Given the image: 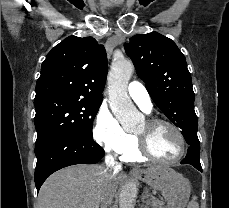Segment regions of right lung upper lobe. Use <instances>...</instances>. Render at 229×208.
<instances>
[{
  "instance_id": "cb5924a9",
  "label": "right lung upper lobe",
  "mask_w": 229,
  "mask_h": 208,
  "mask_svg": "<svg viewBox=\"0 0 229 208\" xmlns=\"http://www.w3.org/2000/svg\"><path fill=\"white\" fill-rule=\"evenodd\" d=\"M106 75L104 46L92 37L69 36L56 45L42 63L34 101L70 96L102 103Z\"/></svg>"
}]
</instances>
